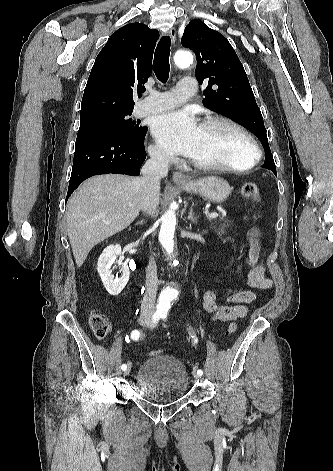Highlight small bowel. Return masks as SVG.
<instances>
[{
	"label": "small bowel",
	"instance_id": "small-bowel-1",
	"mask_svg": "<svg viewBox=\"0 0 333 471\" xmlns=\"http://www.w3.org/2000/svg\"><path fill=\"white\" fill-rule=\"evenodd\" d=\"M248 251L246 263L250 267L248 285L253 289L266 290L272 287V280L266 275V268L260 261L259 232L252 228L247 233ZM257 295L252 290H238L229 293L223 303L215 291H205L202 306L205 314L216 322H230L245 318L248 305L256 301Z\"/></svg>",
	"mask_w": 333,
	"mask_h": 471
}]
</instances>
